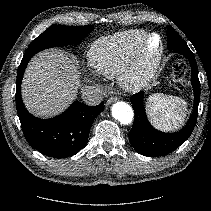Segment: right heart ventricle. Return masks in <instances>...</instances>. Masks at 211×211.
Here are the masks:
<instances>
[{
	"label": "right heart ventricle",
	"mask_w": 211,
	"mask_h": 211,
	"mask_svg": "<svg viewBox=\"0 0 211 211\" xmlns=\"http://www.w3.org/2000/svg\"><path fill=\"white\" fill-rule=\"evenodd\" d=\"M146 33L142 29H130L97 39L88 52L91 65L103 76L117 75Z\"/></svg>",
	"instance_id": "obj_1"
}]
</instances>
